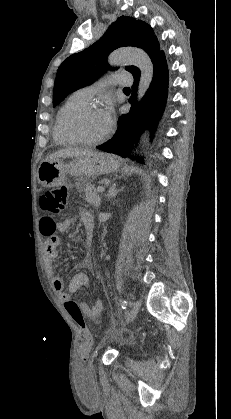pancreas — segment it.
Returning <instances> with one entry per match:
<instances>
[{"label": "pancreas", "mask_w": 231, "mask_h": 419, "mask_svg": "<svg viewBox=\"0 0 231 419\" xmlns=\"http://www.w3.org/2000/svg\"><path fill=\"white\" fill-rule=\"evenodd\" d=\"M85 202L95 207L100 206L101 197L98 194V191L96 188L92 186L88 188V190L86 191Z\"/></svg>", "instance_id": "obj_1"}]
</instances>
